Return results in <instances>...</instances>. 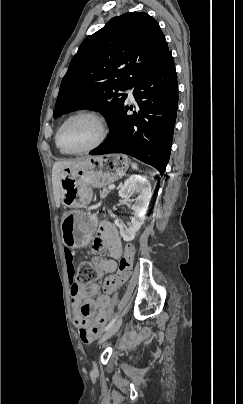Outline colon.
Returning a JSON list of instances; mask_svg holds the SVG:
<instances>
[{"instance_id": "1", "label": "colon", "mask_w": 243, "mask_h": 404, "mask_svg": "<svg viewBox=\"0 0 243 404\" xmlns=\"http://www.w3.org/2000/svg\"><path fill=\"white\" fill-rule=\"evenodd\" d=\"M133 254V245H127L124 255L119 261L118 271L105 280L104 290L107 294L116 291L129 277ZM97 279L98 272L91 262L83 261L79 264L77 272L78 283L90 284Z\"/></svg>"}]
</instances>
